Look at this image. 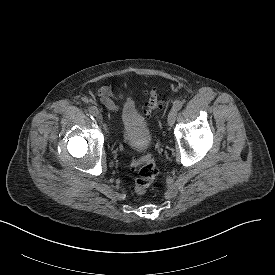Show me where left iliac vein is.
<instances>
[{
    "mask_svg": "<svg viewBox=\"0 0 275 275\" xmlns=\"http://www.w3.org/2000/svg\"><path fill=\"white\" fill-rule=\"evenodd\" d=\"M176 117H177V110L173 108L168 115L169 126H173V124L175 123Z\"/></svg>",
    "mask_w": 275,
    "mask_h": 275,
    "instance_id": "left-iliac-vein-1",
    "label": "left iliac vein"
}]
</instances>
